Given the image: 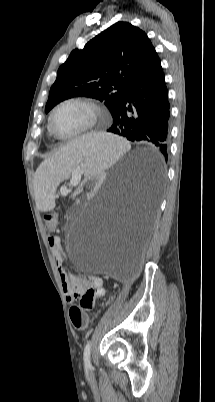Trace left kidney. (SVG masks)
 Returning <instances> with one entry per match:
<instances>
[{"label": "left kidney", "instance_id": "5707ae66", "mask_svg": "<svg viewBox=\"0 0 215 402\" xmlns=\"http://www.w3.org/2000/svg\"><path fill=\"white\" fill-rule=\"evenodd\" d=\"M105 172L102 169L97 170L95 175H87L85 184L83 185L84 193H96L97 187L101 186V181L104 179Z\"/></svg>", "mask_w": 215, "mask_h": 402}]
</instances>
